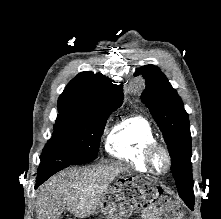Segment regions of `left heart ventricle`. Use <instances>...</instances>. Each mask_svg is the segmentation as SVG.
<instances>
[{"label":"left heart ventricle","mask_w":221,"mask_h":219,"mask_svg":"<svg viewBox=\"0 0 221 219\" xmlns=\"http://www.w3.org/2000/svg\"><path fill=\"white\" fill-rule=\"evenodd\" d=\"M154 165L158 171H163L166 166L165 157L161 152H157L154 156Z\"/></svg>","instance_id":"1"}]
</instances>
